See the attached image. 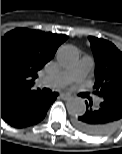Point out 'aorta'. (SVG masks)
<instances>
[{
  "instance_id": "762f6f07",
  "label": "aorta",
  "mask_w": 122,
  "mask_h": 154,
  "mask_svg": "<svg viewBox=\"0 0 122 154\" xmlns=\"http://www.w3.org/2000/svg\"><path fill=\"white\" fill-rule=\"evenodd\" d=\"M78 58V51L74 46L65 45L57 51V61L64 67L73 66L78 61ZM66 108L71 115H82L86 111V104L83 99L73 97L67 101Z\"/></svg>"
}]
</instances>
